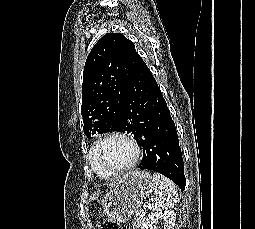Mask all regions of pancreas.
<instances>
[{
    "mask_svg": "<svg viewBox=\"0 0 255 229\" xmlns=\"http://www.w3.org/2000/svg\"><path fill=\"white\" fill-rule=\"evenodd\" d=\"M144 221V215L141 212H136L134 221H133V229H140Z\"/></svg>",
    "mask_w": 255,
    "mask_h": 229,
    "instance_id": "1",
    "label": "pancreas"
}]
</instances>
